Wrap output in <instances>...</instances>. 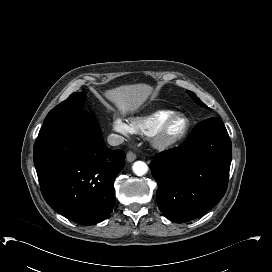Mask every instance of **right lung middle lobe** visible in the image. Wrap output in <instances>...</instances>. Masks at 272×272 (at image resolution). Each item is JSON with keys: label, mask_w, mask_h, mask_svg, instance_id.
Masks as SVG:
<instances>
[{"label": "right lung middle lobe", "mask_w": 272, "mask_h": 272, "mask_svg": "<svg viewBox=\"0 0 272 272\" xmlns=\"http://www.w3.org/2000/svg\"><path fill=\"white\" fill-rule=\"evenodd\" d=\"M85 97L86 95L83 92L71 94L65 101L61 102L48 113L44 124L57 117L72 114L75 111L81 110V106L85 100Z\"/></svg>", "instance_id": "1"}]
</instances>
